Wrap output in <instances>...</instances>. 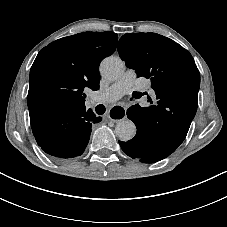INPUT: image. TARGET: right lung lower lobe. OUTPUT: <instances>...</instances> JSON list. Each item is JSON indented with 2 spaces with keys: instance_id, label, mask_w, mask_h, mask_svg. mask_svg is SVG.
I'll return each mask as SVG.
<instances>
[{
  "instance_id": "obj_1",
  "label": "right lung lower lobe",
  "mask_w": 227,
  "mask_h": 227,
  "mask_svg": "<svg viewBox=\"0 0 227 227\" xmlns=\"http://www.w3.org/2000/svg\"><path fill=\"white\" fill-rule=\"evenodd\" d=\"M37 144L57 158L80 156L89 141L93 123L101 120L86 107H59L55 101L41 98L29 109Z\"/></svg>"
}]
</instances>
